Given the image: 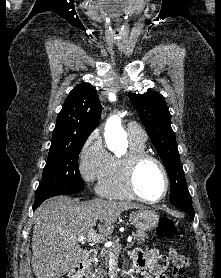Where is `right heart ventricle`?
<instances>
[{
	"label": "right heart ventricle",
	"mask_w": 221,
	"mask_h": 278,
	"mask_svg": "<svg viewBox=\"0 0 221 278\" xmlns=\"http://www.w3.org/2000/svg\"><path fill=\"white\" fill-rule=\"evenodd\" d=\"M145 141L146 140H139L130 137L129 151H145ZM98 190L102 195L113 199L133 198L126 189L122 179L120 157L111 155V165L106 175L99 182Z\"/></svg>",
	"instance_id": "obj_1"
}]
</instances>
